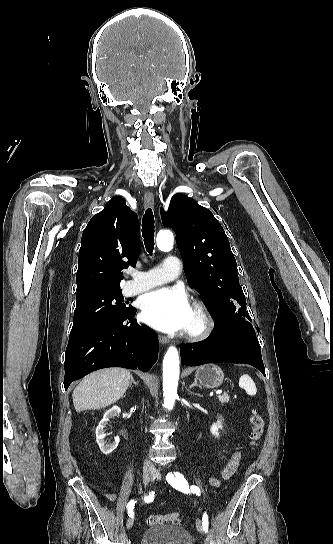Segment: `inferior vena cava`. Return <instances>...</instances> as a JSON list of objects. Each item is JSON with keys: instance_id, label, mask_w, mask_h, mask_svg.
<instances>
[{"instance_id": "inferior-vena-cava-1", "label": "inferior vena cava", "mask_w": 333, "mask_h": 544, "mask_svg": "<svg viewBox=\"0 0 333 544\" xmlns=\"http://www.w3.org/2000/svg\"><path fill=\"white\" fill-rule=\"evenodd\" d=\"M153 467H154V466H153V464H152L150 461H148V460L144 461V468H146V469H147V468L152 469Z\"/></svg>"}]
</instances>
